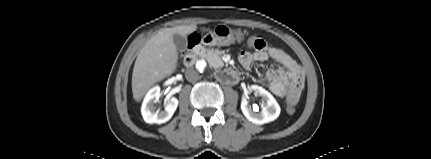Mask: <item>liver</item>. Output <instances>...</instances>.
Returning a JSON list of instances; mask_svg holds the SVG:
<instances>
[{
  "instance_id": "6515ba94",
  "label": "liver",
  "mask_w": 431,
  "mask_h": 159,
  "mask_svg": "<svg viewBox=\"0 0 431 159\" xmlns=\"http://www.w3.org/2000/svg\"><path fill=\"white\" fill-rule=\"evenodd\" d=\"M196 29L195 24L165 28L145 43L136 58L132 74V93L136 102L141 101L154 84L175 72L178 52L173 41L174 34L186 37Z\"/></svg>"
}]
</instances>
